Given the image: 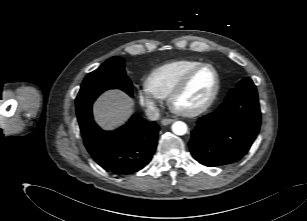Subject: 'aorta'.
I'll return each mask as SVG.
<instances>
[{
  "label": "aorta",
  "instance_id": "762f6f07",
  "mask_svg": "<svg viewBox=\"0 0 307 221\" xmlns=\"http://www.w3.org/2000/svg\"><path fill=\"white\" fill-rule=\"evenodd\" d=\"M187 125L182 121H177L172 124V131L176 135H184L187 132Z\"/></svg>",
  "mask_w": 307,
  "mask_h": 221
}]
</instances>
